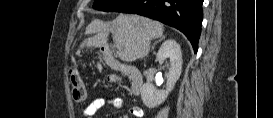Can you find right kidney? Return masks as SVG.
<instances>
[{
  "label": "right kidney",
  "instance_id": "obj_1",
  "mask_svg": "<svg viewBox=\"0 0 273 118\" xmlns=\"http://www.w3.org/2000/svg\"><path fill=\"white\" fill-rule=\"evenodd\" d=\"M167 58L170 59V67L167 73L166 89L157 90L151 83H146L141 88L142 101L149 108H154L166 100L181 75L182 53L180 45L175 40H166L156 55L159 63H163Z\"/></svg>",
  "mask_w": 273,
  "mask_h": 118
}]
</instances>
